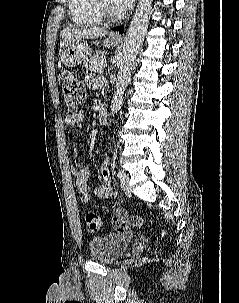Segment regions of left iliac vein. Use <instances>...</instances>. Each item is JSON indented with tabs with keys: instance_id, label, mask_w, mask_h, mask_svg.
<instances>
[{
	"instance_id": "left-iliac-vein-1",
	"label": "left iliac vein",
	"mask_w": 239,
	"mask_h": 303,
	"mask_svg": "<svg viewBox=\"0 0 239 303\" xmlns=\"http://www.w3.org/2000/svg\"><path fill=\"white\" fill-rule=\"evenodd\" d=\"M121 172L123 173V177L121 178V187H122L124 193L127 196H131L132 195V189H131V186L129 184V177L124 171H121Z\"/></svg>"
}]
</instances>
